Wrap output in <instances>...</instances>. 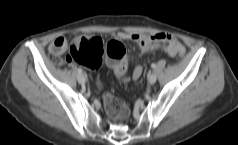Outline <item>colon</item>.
Returning a JSON list of instances; mask_svg holds the SVG:
<instances>
[{
    "label": "colon",
    "instance_id": "5ec220e1",
    "mask_svg": "<svg viewBox=\"0 0 238 145\" xmlns=\"http://www.w3.org/2000/svg\"><path fill=\"white\" fill-rule=\"evenodd\" d=\"M164 50L173 58L179 59L184 55V49L166 43ZM106 56L116 74L123 78L127 70L128 58L124 45L116 40L104 43L98 37H76L71 42L69 59L90 69H98ZM104 107L107 114L114 120H124L129 115L128 106L120 99L106 93Z\"/></svg>",
    "mask_w": 238,
    "mask_h": 145
}]
</instances>
